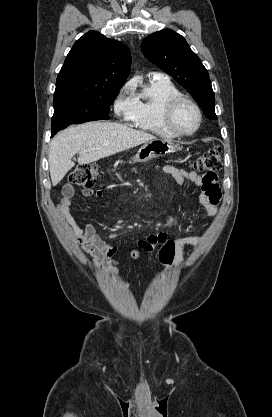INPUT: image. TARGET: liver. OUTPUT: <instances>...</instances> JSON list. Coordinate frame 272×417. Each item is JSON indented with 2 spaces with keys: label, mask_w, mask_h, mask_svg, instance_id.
<instances>
[{
  "label": "liver",
  "mask_w": 272,
  "mask_h": 417,
  "mask_svg": "<svg viewBox=\"0 0 272 417\" xmlns=\"http://www.w3.org/2000/svg\"><path fill=\"white\" fill-rule=\"evenodd\" d=\"M155 138L147 132L112 122H88L70 126L56 134L50 143L48 160L52 184L56 186L74 167L72 157L76 153H79V165H83Z\"/></svg>",
  "instance_id": "6515ba94"
}]
</instances>
